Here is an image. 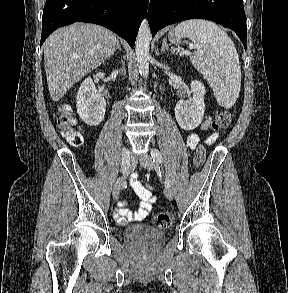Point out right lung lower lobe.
Here are the masks:
<instances>
[{
  "mask_svg": "<svg viewBox=\"0 0 288 293\" xmlns=\"http://www.w3.org/2000/svg\"><path fill=\"white\" fill-rule=\"evenodd\" d=\"M147 0H46L40 46L57 28L82 21L102 25L134 48Z\"/></svg>",
  "mask_w": 288,
  "mask_h": 293,
  "instance_id": "98d812e1",
  "label": "right lung lower lobe"
}]
</instances>
